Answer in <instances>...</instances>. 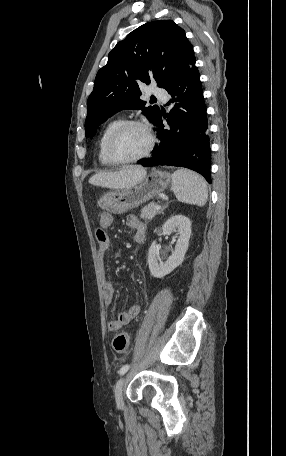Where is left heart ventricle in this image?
<instances>
[{
  "label": "left heart ventricle",
  "instance_id": "1",
  "mask_svg": "<svg viewBox=\"0 0 286 456\" xmlns=\"http://www.w3.org/2000/svg\"><path fill=\"white\" fill-rule=\"evenodd\" d=\"M148 143L149 139L143 128L130 126L118 135L112 151L118 159H132L144 153Z\"/></svg>",
  "mask_w": 286,
  "mask_h": 456
}]
</instances>
